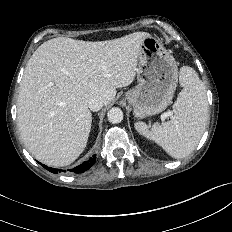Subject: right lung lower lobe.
Listing matches in <instances>:
<instances>
[{"label": "right lung lower lobe", "instance_id": "1", "mask_svg": "<svg viewBox=\"0 0 232 232\" xmlns=\"http://www.w3.org/2000/svg\"><path fill=\"white\" fill-rule=\"evenodd\" d=\"M96 161V155L94 154L92 156V158H90L88 161H85L84 163H82L81 165L71 169V172L74 173H83L86 170H88ZM40 165H42L45 169H47L48 171L52 172V173H58L59 169H54L51 167H48L46 165H43L42 163H39Z\"/></svg>", "mask_w": 232, "mask_h": 232}]
</instances>
